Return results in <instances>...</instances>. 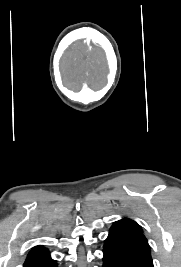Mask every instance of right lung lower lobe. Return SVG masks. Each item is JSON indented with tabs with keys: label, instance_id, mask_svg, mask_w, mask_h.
<instances>
[{
	"label": "right lung lower lobe",
	"instance_id": "1",
	"mask_svg": "<svg viewBox=\"0 0 181 267\" xmlns=\"http://www.w3.org/2000/svg\"><path fill=\"white\" fill-rule=\"evenodd\" d=\"M23 267H57L47 249L36 246L28 254Z\"/></svg>",
	"mask_w": 181,
	"mask_h": 267
}]
</instances>
